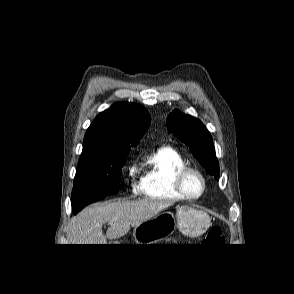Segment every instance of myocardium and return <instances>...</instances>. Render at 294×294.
<instances>
[{
	"label": "myocardium",
	"mask_w": 294,
	"mask_h": 294,
	"mask_svg": "<svg viewBox=\"0 0 294 294\" xmlns=\"http://www.w3.org/2000/svg\"><path fill=\"white\" fill-rule=\"evenodd\" d=\"M190 173L196 174L200 178L202 183L201 191L197 195L189 194L185 188V179ZM206 185L207 183H206L205 176L203 175L201 171H199L198 169L194 167L185 165V166L179 167L174 172V187L176 191L178 192V194L186 200L192 201V200L199 199L204 194L206 190Z\"/></svg>",
	"instance_id": "myocardium-1"
}]
</instances>
